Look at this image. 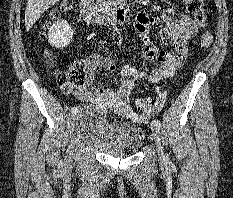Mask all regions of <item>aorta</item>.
<instances>
[{
	"label": "aorta",
	"mask_w": 233,
	"mask_h": 198,
	"mask_svg": "<svg viewBox=\"0 0 233 198\" xmlns=\"http://www.w3.org/2000/svg\"><path fill=\"white\" fill-rule=\"evenodd\" d=\"M114 30L117 31V28L114 27Z\"/></svg>",
	"instance_id": "obj_1"
}]
</instances>
